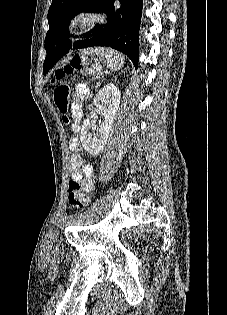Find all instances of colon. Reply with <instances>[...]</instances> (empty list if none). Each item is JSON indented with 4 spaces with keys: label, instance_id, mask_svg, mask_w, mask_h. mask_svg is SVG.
Masks as SVG:
<instances>
[{
    "label": "colon",
    "instance_id": "5ec220e1",
    "mask_svg": "<svg viewBox=\"0 0 227 315\" xmlns=\"http://www.w3.org/2000/svg\"><path fill=\"white\" fill-rule=\"evenodd\" d=\"M84 66V59L75 57L69 64L58 69L51 81L54 102L62 114V120L69 124L73 117H77L76 112L69 104L70 86L67 79L78 73ZM68 202L75 210L84 209L89 203L88 193L83 189L78 180H71L68 187Z\"/></svg>",
    "mask_w": 227,
    "mask_h": 315
}]
</instances>
